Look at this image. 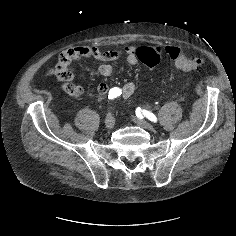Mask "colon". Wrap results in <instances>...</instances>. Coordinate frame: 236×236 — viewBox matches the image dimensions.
Returning <instances> with one entry per match:
<instances>
[{"mask_svg":"<svg viewBox=\"0 0 236 236\" xmlns=\"http://www.w3.org/2000/svg\"><path fill=\"white\" fill-rule=\"evenodd\" d=\"M164 54L172 60L175 67L182 71H196L202 68L204 61L201 58H189L177 46H165ZM161 49L141 46L137 49L138 60L149 68L157 66L161 61ZM70 68L68 58L61 55L57 64L51 69V74L58 80H64Z\"/></svg>","mask_w":236,"mask_h":236,"instance_id":"obj_1","label":"colon"}]
</instances>
